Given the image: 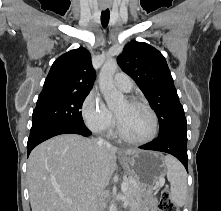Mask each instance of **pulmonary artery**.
<instances>
[{
	"instance_id": "pulmonary-artery-1",
	"label": "pulmonary artery",
	"mask_w": 221,
	"mask_h": 211,
	"mask_svg": "<svg viewBox=\"0 0 221 211\" xmlns=\"http://www.w3.org/2000/svg\"><path fill=\"white\" fill-rule=\"evenodd\" d=\"M114 84L117 88L124 92H130L133 87L131 77L126 73H117L114 77Z\"/></svg>"
}]
</instances>
